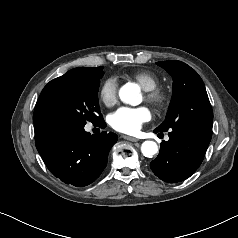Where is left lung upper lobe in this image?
<instances>
[{
  "label": "left lung upper lobe",
  "instance_id": "left-lung-upper-lobe-1",
  "mask_svg": "<svg viewBox=\"0 0 238 238\" xmlns=\"http://www.w3.org/2000/svg\"><path fill=\"white\" fill-rule=\"evenodd\" d=\"M156 64L164 68L174 81L166 120L156 130L187 129L212 135L213 111L198 73L181 61Z\"/></svg>",
  "mask_w": 238,
  "mask_h": 238
}]
</instances>
